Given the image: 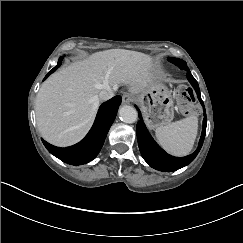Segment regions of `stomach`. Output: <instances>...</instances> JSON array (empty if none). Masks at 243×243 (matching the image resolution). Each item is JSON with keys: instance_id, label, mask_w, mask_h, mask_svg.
Listing matches in <instances>:
<instances>
[{"instance_id": "0dacf381", "label": "stomach", "mask_w": 243, "mask_h": 243, "mask_svg": "<svg viewBox=\"0 0 243 243\" xmlns=\"http://www.w3.org/2000/svg\"><path fill=\"white\" fill-rule=\"evenodd\" d=\"M135 100L149 128L165 126L173 120L174 98L158 78L153 79L144 91L136 94Z\"/></svg>"}]
</instances>
